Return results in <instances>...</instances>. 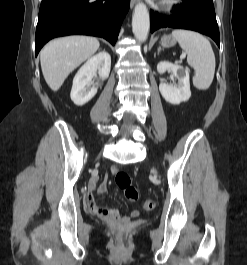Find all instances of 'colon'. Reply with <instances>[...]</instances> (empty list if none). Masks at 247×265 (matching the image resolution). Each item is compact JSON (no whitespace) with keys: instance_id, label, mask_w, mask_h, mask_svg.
<instances>
[{"instance_id":"1","label":"colon","mask_w":247,"mask_h":265,"mask_svg":"<svg viewBox=\"0 0 247 265\" xmlns=\"http://www.w3.org/2000/svg\"><path fill=\"white\" fill-rule=\"evenodd\" d=\"M116 185L123 190L125 197L128 200L135 201L138 199V191L133 186L131 178L128 173L124 171H119L115 176ZM156 207V202L153 199H147L143 202V209L146 211H151Z\"/></svg>"}]
</instances>
